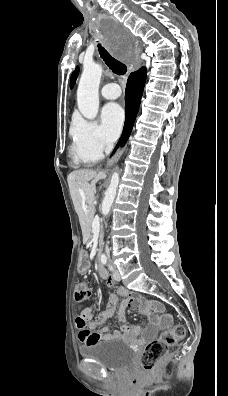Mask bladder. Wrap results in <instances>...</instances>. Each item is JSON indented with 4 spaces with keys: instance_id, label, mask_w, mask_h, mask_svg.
Instances as JSON below:
<instances>
[{
    "instance_id": "1",
    "label": "bladder",
    "mask_w": 228,
    "mask_h": 396,
    "mask_svg": "<svg viewBox=\"0 0 228 396\" xmlns=\"http://www.w3.org/2000/svg\"><path fill=\"white\" fill-rule=\"evenodd\" d=\"M83 358L93 360L110 370H123L131 365L134 352L129 343L118 338L97 341L79 348Z\"/></svg>"
}]
</instances>
